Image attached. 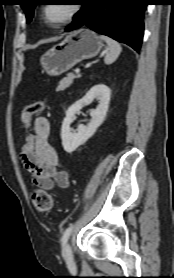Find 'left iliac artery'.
<instances>
[{
	"label": "left iliac artery",
	"instance_id": "44dca946",
	"mask_svg": "<svg viewBox=\"0 0 174 278\" xmlns=\"http://www.w3.org/2000/svg\"><path fill=\"white\" fill-rule=\"evenodd\" d=\"M73 228H74V224H71V225L64 231L63 236H62V239H61V241H62V246H63V247L65 246V244H66V242H67V240H68V238H69V236H70V234H71Z\"/></svg>",
	"mask_w": 174,
	"mask_h": 278
}]
</instances>
